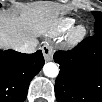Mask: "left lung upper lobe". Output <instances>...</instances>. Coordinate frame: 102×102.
I'll use <instances>...</instances> for the list:
<instances>
[{
  "label": "left lung upper lobe",
  "mask_w": 102,
  "mask_h": 102,
  "mask_svg": "<svg viewBox=\"0 0 102 102\" xmlns=\"http://www.w3.org/2000/svg\"><path fill=\"white\" fill-rule=\"evenodd\" d=\"M95 17L94 32L102 33V13L98 11L92 12Z\"/></svg>",
  "instance_id": "1"
}]
</instances>
